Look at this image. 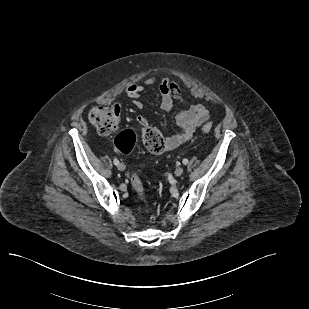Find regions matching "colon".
<instances>
[{
  "mask_svg": "<svg viewBox=\"0 0 309 309\" xmlns=\"http://www.w3.org/2000/svg\"><path fill=\"white\" fill-rule=\"evenodd\" d=\"M90 123L102 135H111L118 131L120 123V109L117 106H95L88 114ZM212 130L211 124H205L202 131L208 133ZM136 136L130 129L120 131L115 138V147L122 154L132 152ZM143 142L151 153H161L164 150L165 140L162 134L153 127H146L143 133ZM131 185L140 199L144 197L141 178L137 173L131 176Z\"/></svg>",
  "mask_w": 309,
  "mask_h": 309,
  "instance_id": "obj_1",
  "label": "colon"
}]
</instances>
